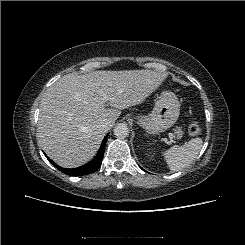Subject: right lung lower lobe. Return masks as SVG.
Returning a JSON list of instances; mask_svg holds the SVG:
<instances>
[{
  "mask_svg": "<svg viewBox=\"0 0 245 245\" xmlns=\"http://www.w3.org/2000/svg\"><path fill=\"white\" fill-rule=\"evenodd\" d=\"M107 136L104 138L102 145H101V148H100L98 154L95 156V158L93 160H91L90 162H88L87 164L80 166L78 168H73V169L62 168V167L56 165L48 157L47 158L56 168H58L64 174L73 175V176H82V175L91 174V173L95 172L96 170H98L99 167L101 166L103 155H104V150H105V144L107 141Z\"/></svg>",
  "mask_w": 245,
  "mask_h": 245,
  "instance_id": "98d812e1",
  "label": "right lung lower lobe"
}]
</instances>
